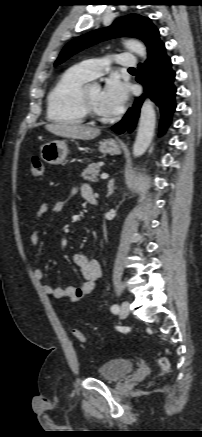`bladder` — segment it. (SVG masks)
I'll use <instances>...</instances> for the list:
<instances>
[{"label": "bladder", "instance_id": "1", "mask_svg": "<svg viewBox=\"0 0 202 437\" xmlns=\"http://www.w3.org/2000/svg\"><path fill=\"white\" fill-rule=\"evenodd\" d=\"M135 368L130 359L116 358L104 362L98 368V376L106 381L116 382L125 378Z\"/></svg>", "mask_w": 202, "mask_h": 437}]
</instances>
